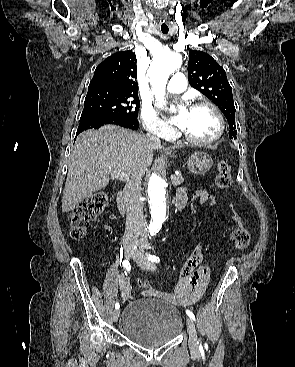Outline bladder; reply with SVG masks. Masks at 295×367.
Instances as JSON below:
<instances>
[{
	"mask_svg": "<svg viewBox=\"0 0 295 367\" xmlns=\"http://www.w3.org/2000/svg\"><path fill=\"white\" fill-rule=\"evenodd\" d=\"M121 333L132 342L154 348L174 340L183 327L182 317L170 303L144 297L129 302L120 317Z\"/></svg>",
	"mask_w": 295,
	"mask_h": 367,
	"instance_id": "31cf9c89",
	"label": "bladder"
}]
</instances>
